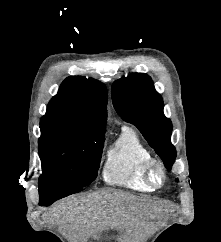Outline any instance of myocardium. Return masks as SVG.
<instances>
[{"label":"myocardium","instance_id":"f54148a6","mask_svg":"<svg viewBox=\"0 0 221 242\" xmlns=\"http://www.w3.org/2000/svg\"><path fill=\"white\" fill-rule=\"evenodd\" d=\"M159 174V180H156L154 173ZM142 173L145 181L151 188H160L166 182L167 171L164 164L157 158L151 157L148 159L143 167Z\"/></svg>","mask_w":221,"mask_h":242}]
</instances>
